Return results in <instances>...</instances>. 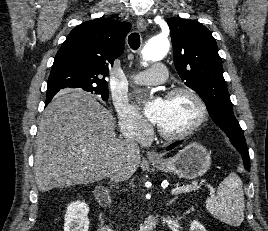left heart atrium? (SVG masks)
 <instances>
[{
	"label": "left heart atrium",
	"instance_id": "1",
	"mask_svg": "<svg viewBox=\"0 0 268 231\" xmlns=\"http://www.w3.org/2000/svg\"><path fill=\"white\" fill-rule=\"evenodd\" d=\"M163 105L164 100L161 98L154 99L150 102H145V115L150 122L154 124L158 123Z\"/></svg>",
	"mask_w": 268,
	"mask_h": 231
}]
</instances>
